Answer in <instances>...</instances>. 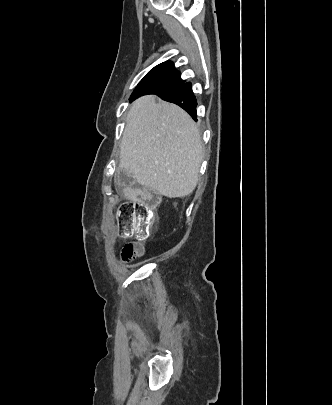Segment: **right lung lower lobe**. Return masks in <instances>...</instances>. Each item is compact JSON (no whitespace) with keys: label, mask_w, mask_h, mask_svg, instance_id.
I'll list each match as a JSON object with an SVG mask.
<instances>
[{"label":"right lung lower lobe","mask_w":332,"mask_h":405,"mask_svg":"<svg viewBox=\"0 0 332 405\" xmlns=\"http://www.w3.org/2000/svg\"><path fill=\"white\" fill-rule=\"evenodd\" d=\"M146 94H156L163 100L168 102L175 103L187 111L190 116L197 121L196 119V100L193 95L191 88V83H182L171 89L161 91V92H151V93H139L134 91L130 97V101L135 100L136 98L146 95Z\"/></svg>","instance_id":"obj_1"}]
</instances>
